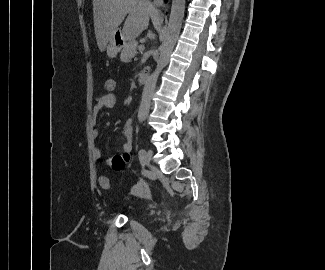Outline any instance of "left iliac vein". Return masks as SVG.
<instances>
[{
  "label": "left iliac vein",
  "mask_w": 325,
  "mask_h": 270,
  "mask_svg": "<svg viewBox=\"0 0 325 270\" xmlns=\"http://www.w3.org/2000/svg\"><path fill=\"white\" fill-rule=\"evenodd\" d=\"M152 159V151L148 150L144 156V162L146 165H149Z\"/></svg>",
  "instance_id": "4c4485c4"
}]
</instances>
